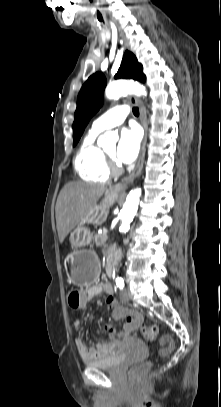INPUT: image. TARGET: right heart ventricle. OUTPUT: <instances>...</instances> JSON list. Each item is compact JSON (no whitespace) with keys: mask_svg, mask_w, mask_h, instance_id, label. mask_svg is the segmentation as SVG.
<instances>
[{"mask_svg":"<svg viewBox=\"0 0 221 407\" xmlns=\"http://www.w3.org/2000/svg\"><path fill=\"white\" fill-rule=\"evenodd\" d=\"M98 133L89 131L82 141L76 154L74 165L79 177L92 183H105L110 176V171L104 152L96 145Z\"/></svg>","mask_w":221,"mask_h":407,"instance_id":"right-heart-ventricle-1","label":"right heart ventricle"}]
</instances>
